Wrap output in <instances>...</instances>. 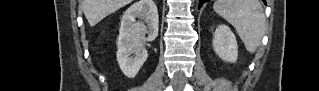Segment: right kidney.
<instances>
[{"label": "right kidney", "instance_id": "ca27d5eb", "mask_svg": "<svg viewBox=\"0 0 319 91\" xmlns=\"http://www.w3.org/2000/svg\"><path fill=\"white\" fill-rule=\"evenodd\" d=\"M158 28V10L153 0H139L125 11L116 44L118 64L127 77H135L146 61L144 42L153 41Z\"/></svg>", "mask_w": 319, "mask_h": 91}]
</instances>
